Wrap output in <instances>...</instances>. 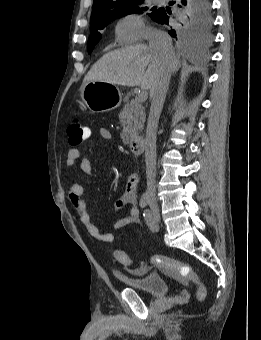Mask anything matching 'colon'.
Instances as JSON below:
<instances>
[{
  "label": "colon",
  "instance_id": "5ec220e1",
  "mask_svg": "<svg viewBox=\"0 0 261 340\" xmlns=\"http://www.w3.org/2000/svg\"><path fill=\"white\" fill-rule=\"evenodd\" d=\"M67 134L69 143L71 145H78L86 139L85 126L79 119L73 118L68 125ZM113 256L119 263L126 267H129L132 263L129 255L121 250H114ZM150 261L153 266L172 273L184 281L192 282L197 288L198 301L204 300L206 288L199 275L190 265L163 255H153Z\"/></svg>",
  "mask_w": 261,
  "mask_h": 340
}]
</instances>
